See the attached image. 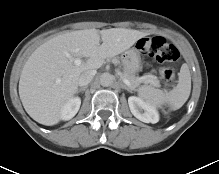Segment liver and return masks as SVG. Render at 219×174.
<instances>
[{"label": "liver", "mask_w": 219, "mask_h": 174, "mask_svg": "<svg viewBox=\"0 0 219 174\" xmlns=\"http://www.w3.org/2000/svg\"><path fill=\"white\" fill-rule=\"evenodd\" d=\"M145 33L125 28L85 29L53 37L40 45L23 66L19 96L31 118L52 126L61 120V111L78 90L80 75L97 70L106 58L129 49ZM102 40V44H100ZM73 58H88L76 65Z\"/></svg>", "instance_id": "6515ba94"}]
</instances>
